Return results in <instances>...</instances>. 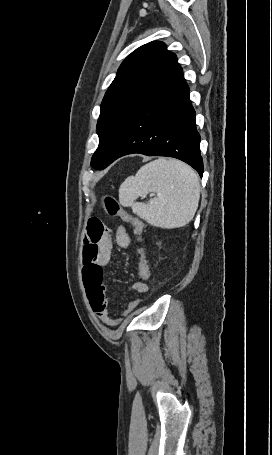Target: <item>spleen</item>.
<instances>
[{
  "label": "spleen",
  "instance_id": "obj_1",
  "mask_svg": "<svg viewBox=\"0 0 272 455\" xmlns=\"http://www.w3.org/2000/svg\"><path fill=\"white\" fill-rule=\"evenodd\" d=\"M200 190L199 177L190 166L176 159L159 158L121 184L119 201L150 225L170 229L185 226L194 218ZM152 192L157 194L155 198L136 202Z\"/></svg>",
  "mask_w": 272,
  "mask_h": 455
}]
</instances>
